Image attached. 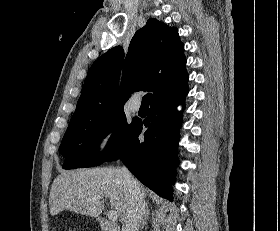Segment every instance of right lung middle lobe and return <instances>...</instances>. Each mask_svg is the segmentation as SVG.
<instances>
[{
	"mask_svg": "<svg viewBox=\"0 0 280 231\" xmlns=\"http://www.w3.org/2000/svg\"><path fill=\"white\" fill-rule=\"evenodd\" d=\"M133 123L128 124L124 111L93 120L70 122L61 143V154L66 159L64 169L93 167L116 155ZM111 135L106 151L99 154L101 139Z\"/></svg>",
	"mask_w": 280,
	"mask_h": 231,
	"instance_id": "right-lung-middle-lobe-1",
	"label": "right lung middle lobe"
}]
</instances>
